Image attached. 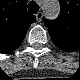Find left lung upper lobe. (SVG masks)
I'll list each match as a JSON object with an SVG mask.
<instances>
[{
	"mask_svg": "<svg viewBox=\"0 0 80 80\" xmlns=\"http://www.w3.org/2000/svg\"><path fill=\"white\" fill-rule=\"evenodd\" d=\"M61 14L55 21H45L48 27V32L52 40H57L58 43L62 42L63 45H70L73 37L79 38L80 22L79 19L71 13L67 2L60 1ZM80 18V17H79Z\"/></svg>",
	"mask_w": 80,
	"mask_h": 80,
	"instance_id": "5c2ea615",
	"label": "left lung upper lobe"
}]
</instances>
